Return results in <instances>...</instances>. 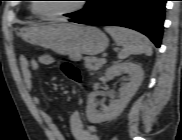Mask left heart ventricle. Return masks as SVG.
<instances>
[{"instance_id":"obj_1","label":"left heart ventricle","mask_w":182,"mask_h":140,"mask_svg":"<svg viewBox=\"0 0 182 140\" xmlns=\"http://www.w3.org/2000/svg\"><path fill=\"white\" fill-rule=\"evenodd\" d=\"M75 1H67V0H48L43 1L40 4H36L38 10L43 14H53L57 12H62L69 10L76 6Z\"/></svg>"}]
</instances>
